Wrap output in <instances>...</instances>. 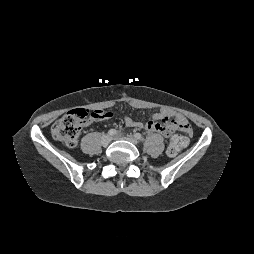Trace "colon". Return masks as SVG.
<instances>
[{
  "label": "colon",
  "instance_id": "5ec220e1",
  "mask_svg": "<svg viewBox=\"0 0 254 254\" xmlns=\"http://www.w3.org/2000/svg\"><path fill=\"white\" fill-rule=\"evenodd\" d=\"M100 115V111H88L86 109H75L70 113L59 118L54 122L51 128L52 136L55 140L64 143L68 147H75L82 129V125L87 120H93ZM174 130L181 131L184 134L190 132V126L186 122L174 121L172 123ZM188 143V138L176 134L173 136L168 147V154L176 155Z\"/></svg>",
  "mask_w": 254,
  "mask_h": 254
}]
</instances>
